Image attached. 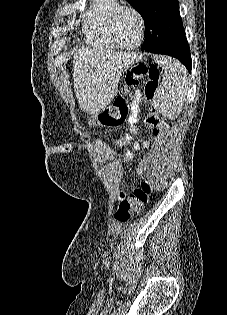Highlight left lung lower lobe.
Wrapping results in <instances>:
<instances>
[{
    "instance_id": "left-lung-lower-lobe-1",
    "label": "left lung lower lobe",
    "mask_w": 227,
    "mask_h": 315,
    "mask_svg": "<svg viewBox=\"0 0 227 315\" xmlns=\"http://www.w3.org/2000/svg\"><path fill=\"white\" fill-rule=\"evenodd\" d=\"M143 50L155 53L165 54L180 60L191 73V55L190 49L185 35L176 38L173 41L164 43L158 47L143 45Z\"/></svg>"
}]
</instances>
